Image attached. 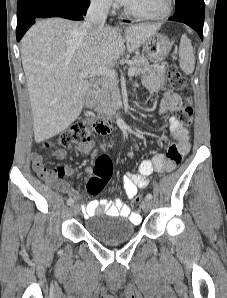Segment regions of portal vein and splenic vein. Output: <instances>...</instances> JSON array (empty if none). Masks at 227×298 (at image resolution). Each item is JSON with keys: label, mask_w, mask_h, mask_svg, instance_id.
Returning a JSON list of instances; mask_svg holds the SVG:
<instances>
[{"label": "portal vein and splenic vein", "mask_w": 227, "mask_h": 298, "mask_svg": "<svg viewBox=\"0 0 227 298\" xmlns=\"http://www.w3.org/2000/svg\"><path fill=\"white\" fill-rule=\"evenodd\" d=\"M93 75V76H103L108 79H115L117 76L116 71L109 69L107 67H91L90 69H87L83 71L82 73L79 74V78H86L88 75ZM135 75V69L134 68H129L128 70V76L132 78Z\"/></svg>", "instance_id": "portal-vein-and-splenic-vein-1"}]
</instances>
